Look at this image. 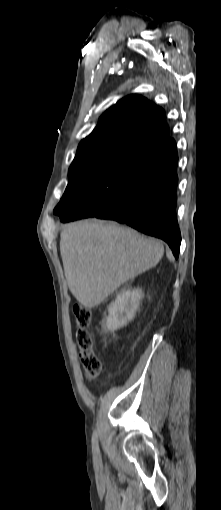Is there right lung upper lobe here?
<instances>
[{
	"mask_svg": "<svg viewBox=\"0 0 221 510\" xmlns=\"http://www.w3.org/2000/svg\"><path fill=\"white\" fill-rule=\"evenodd\" d=\"M173 141L163 109L130 95L100 117L92 133L80 142L74 159L130 147L154 152Z\"/></svg>",
	"mask_w": 221,
	"mask_h": 510,
	"instance_id": "right-lung-upper-lobe-1",
	"label": "right lung upper lobe"
}]
</instances>
